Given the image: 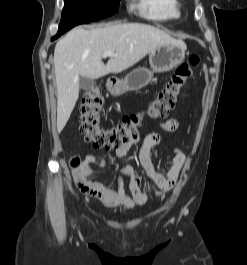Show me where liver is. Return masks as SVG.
Returning a JSON list of instances; mask_svg holds the SVG:
<instances>
[{"label":"liver","mask_w":247,"mask_h":265,"mask_svg":"<svg viewBox=\"0 0 247 265\" xmlns=\"http://www.w3.org/2000/svg\"><path fill=\"white\" fill-rule=\"evenodd\" d=\"M185 45L153 26L121 23L85 30L77 27L59 40L54 50L57 87V131L65 127L79 97L81 76L97 79L109 73H121L163 44ZM112 51L107 64L105 51Z\"/></svg>","instance_id":"6515ba94"}]
</instances>
